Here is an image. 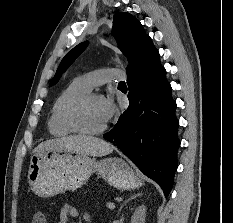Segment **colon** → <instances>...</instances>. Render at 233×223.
Listing matches in <instances>:
<instances>
[{
	"mask_svg": "<svg viewBox=\"0 0 233 223\" xmlns=\"http://www.w3.org/2000/svg\"><path fill=\"white\" fill-rule=\"evenodd\" d=\"M32 223H45V219L43 218L42 215L36 214V215H34V217L32 219Z\"/></svg>",
	"mask_w": 233,
	"mask_h": 223,
	"instance_id": "obj_1",
	"label": "colon"
}]
</instances>
